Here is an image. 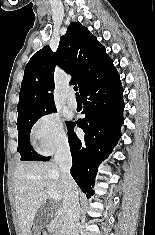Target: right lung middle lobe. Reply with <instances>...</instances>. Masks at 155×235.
Listing matches in <instances>:
<instances>
[{"mask_svg": "<svg viewBox=\"0 0 155 235\" xmlns=\"http://www.w3.org/2000/svg\"><path fill=\"white\" fill-rule=\"evenodd\" d=\"M56 112V109L24 113L18 116L17 129H18V148L17 151L21 155L22 161L40 160L43 161L47 157L37 154L30 145L29 135L34 123L43 115ZM67 126L70 122H66Z\"/></svg>", "mask_w": 155, "mask_h": 235, "instance_id": "dd1d6c3e", "label": "right lung middle lobe"}]
</instances>
